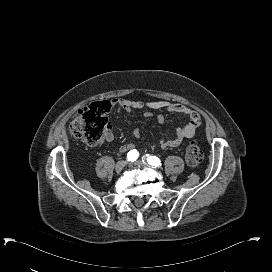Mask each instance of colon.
Masks as SVG:
<instances>
[{
  "label": "colon",
  "mask_w": 272,
  "mask_h": 272,
  "mask_svg": "<svg viewBox=\"0 0 272 272\" xmlns=\"http://www.w3.org/2000/svg\"><path fill=\"white\" fill-rule=\"evenodd\" d=\"M110 108L108 101H98L77 111L68 127L69 136L80 138L90 146L97 145L109 127ZM185 158L190 166L201 163L203 154L196 141L188 143Z\"/></svg>",
  "instance_id": "colon-1"
}]
</instances>
